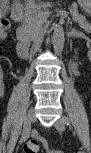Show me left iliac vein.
I'll list each match as a JSON object with an SVG mask.
<instances>
[{"label":"left iliac vein","instance_id":"left-iliac-vein-1","mask_svg":"<svg viewBox=\"0 0 91 153\" xmlns=\"http://www.w3.org/2000/svg\"><path fill=\"white\" fill-rule=\"evenodd\" d=\"M55 128L59 131V132H63L65 130V122L63 120V118L58 119L55 124H54Z\"/></svg>","mask_w":91,"mask_h":153}]
</instances>
